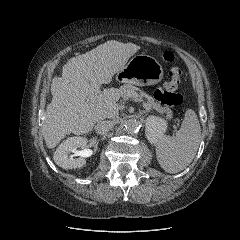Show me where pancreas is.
Returning a JSON list of instances; mask_svg holds the SVG:
<instances>
[{"label": "pancreas", "instance_id": "cf45deb5", "mask_svg": "<svg viewBox=\"0 0 240 240\" xmlns=\"http://www.w3.org/2000/svg\"><path fill=\"white\" fill-rule=\"evenodd\" d=\"M119 92L124 100H128L129 98L133 97H145L146 103L150 105L151 108L162 114H166V118L168 120L172 119L173 117L172 110L170 108L161 106L159 103L155 102L151 96L147 95L138 87H135L131 84H124L119 88Z\"/></svg>", "mask_w": 240, "mask_h": 240}]
</instances>
